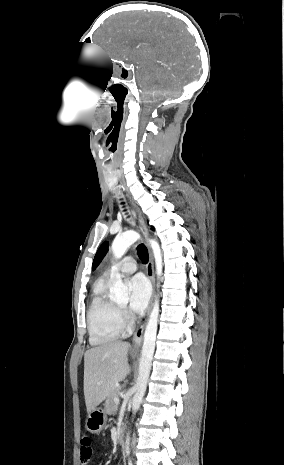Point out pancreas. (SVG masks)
I'll return each mask as SVG.
<instances>
[{"mask_svg":"<svg viewBox=\"0 0 284 465\" xmlns=\"http://www.w3.org/2000/svg\"><path fill=\"white\" fill-rule=\"evenodd\" d=\"M120 393V389H112L111 393H109L108 397H106V401L104 403L105 413L106 415H113L117 405L114 403V397H118Z\"/></svg>","mask_w":284,"mask_h":465,"instance_id":"obj_1","label":"pancreas"}]
</instances>
